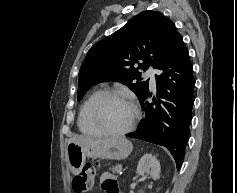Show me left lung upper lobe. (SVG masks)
Listing matches in <instances>:
<instances>
[{
    "label": "left lung upper lobe",
    "mask_w": 237,
    "mask_h": 193,
    "mask_svg": "<svg viewBox=\"0 0 237 193\" xmlns=\"http://www.w3.org/2000/svg\"><path fill=\"white\" fill-rule=\"evenodd\" d=\"M180 39L174 23L160 12H141L90 48L79 72L77 100L92 85L105 81L128 85L141 100L148 91V80L139 78V69L158 68Z\"/></svg>",
    "instance_id": "left-lung-upper-lobe-1"
}]
</instances>
